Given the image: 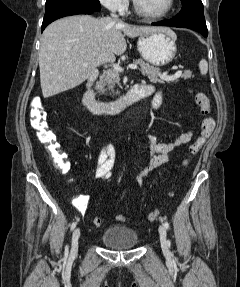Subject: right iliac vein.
Wrapping results in <instances>:
<instances>
[{"mask_svg": "<svg viewBox=\"0 0 240 287\" xmlns=\"http://www.w3.org/2000/svg\"><path fill=\"white\" fill-rule=\"evenodd\" d=\"M80 237V229L76 228L72 235L71 255H76L78 252V240Z\"/></svg>", "mask_w": 240, "mask_h": 287, "instance_id": "right-iliac-vein-1", "label": "right iliac vein"}]
</instances>
